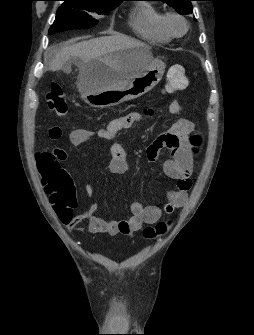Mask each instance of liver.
<instances>
[{"label":"liver","mask_w":254,"mask_h":335,"mask_svg":"<svg viewBox=\"0 0 254 335\" xmlns=\"http://www.w3.org/2000/svg\"><path fill=\"white\" fill-rule=\"evenodd\" d=\"M142 45L140 41L125 35L93 38L73 45L63 46L51 60L49 69L51 71L61 70L66 67L70 60H73L77 63L79 68L78 78L81 80L87 74L89 65L94 59H109L110 55L114 52ZM66 70H70V65H68V68L66 67ZM131 76L132 74L129 73H118L112 76L108 87H119ZM79 91H81L80 88Z\"/></svg>","instance_id":"6515ba94"}]
</instances>
